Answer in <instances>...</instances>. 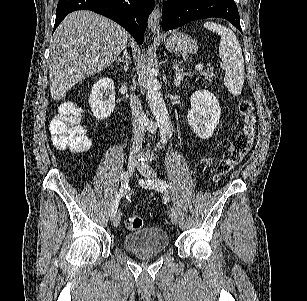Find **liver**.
<instances>
[{
    "label": "liver",
    "mask_w": 307,
    "mask_h": 301,
    "mask_svg": "<svg viewBox=\"0 0 307 301\" xmlns=\"http://www.w3.org/2000/svg\"><path fill=\"white\" fill-rule=\"evenodd\" d=\"M127 42V30L106 16L92 10L67 14L50 42L51 98L61 100L79 80L110 66Z\"/></svg>",
    "instance_id": "obj_1"
}]
</instances>
